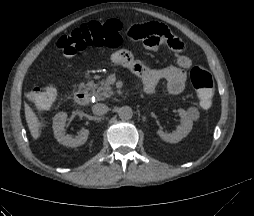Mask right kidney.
Instances as JSON below:
<instances>
[{
  "instance_id": "ca27d5eb",
  "label": "right kidney",
  "mask_w": 254,
  "mask_h": 216,
  "mask_svg": "<svg viewBox=\"0 0 254 216\" xmlns=\"http://www.w3.org/2000/svg\"><path fill=\"white\" fill-rule=\"evenodd\" d=\"M66 120L67 114L65 112H60L53 117L52 127L57 141L68 147H78L83 145L88 139L89 130L82 128L75 138L70 135H65L64 127Z\"/></svg>"
}]
</instances>
